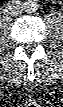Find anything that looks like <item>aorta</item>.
<instances>
[{"label":"aorta","instance_id":"1","mask_svg":"<svg viewBox=\"0 0 63 107\" xmlns=\"http://www.w3.org/2000/svg\"><path fill=\"white\" fill-rule=\"evenodd\" d=\"M23 9L27 13H34L38 9V3L36 0H26L23 3Z\"/></svg>","mask_w":63,"mask_h":107}]
</instances>
